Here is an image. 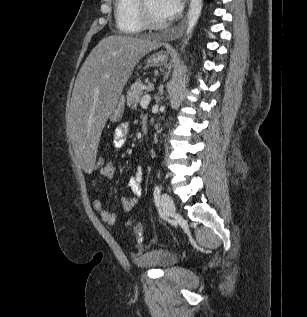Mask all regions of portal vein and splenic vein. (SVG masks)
I'll use <instances>...</instances> for the list:
<instances>
[{
  "mask_svg": "<svg viewBox=\"0 0 307 317\" xmlns=\"http://www.w3.org/2000/svg\"><path fill=\"white\" fill-rule=\"evenodd\" d=\"M151 101V96L149 94H145L140 100L141 107H147Z\"/></svg>",
  "mask_w": 307,
  "mask_h": 317,
  "instance_id": "portal-vein-and-splenic-vein-1",
  "label": "portal vein and splenic vein"
}]
</instances>
